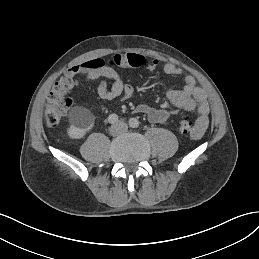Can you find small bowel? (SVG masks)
Returning <instances> with one entry per match:
<instances>
[{
  "label": "small bowel",
  "mask_w": 259,
  "mask_h": 259,
  "mask_svg": "<svg viewBox=\"0 0 259 259\" xmlns=\"http://www.w3.org/2000/svg\"><path fill=\"white\" fill-rule=\"evenodd\" d=\"M157 66L158 61L155 59L149 60L140 54L127 53L116 54L108 61L103 59L87 61L71 67L67 74L72 76L83 75L88 80L100 79L97 94L101 99L126 101L132 97L134 89L130 84L122 81L115 68L146 67L148 70L154 71ZM163 70L166 74L172 76H179L183 73L180 67L172 63L165 64ZM106 80L111 81V86H108ZM166 98L172 105L180 109L197 111L198 116L191 136L195 139L201 138L209 125V103L205 91L196 85L194 78L190 75L185 76L184 87L180 90H168ZM136 112L146 115L149 121L158 124H165L169 116L166 110L148 105H139Z\"/></svg>",
  "instance_id": "1"
}]
</instances>
